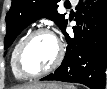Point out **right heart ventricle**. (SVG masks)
I'll return each mask as SVG.
<instances>
[{"mask_svg": "<svg viewBox=\"0 0 107 89\" xmlns=\"http://www.w3.org/2000/svg\"><path fill=\"white\" fill-rule=\"evenodd\" d=\"M24 39V37H21L14 45L12 53H11V68H12V72L15 75L16 78L18 79H25V77L23 75H21V73L17 70L16 67V54H17V50L22 42V40Z\"/></svg>", "mask_w": 107, "mask_h": 89, "instance_id": "right-heart-ventricle-1", "label": "right heart ventricle"}]
</instances>
